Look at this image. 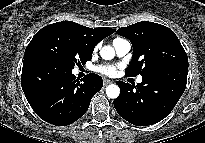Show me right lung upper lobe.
<instances>
[{
	"instance_id": "cb5924a9",
	"label": "right lung upper lobe",
	"mask_w": 205,
	"mask_h": 143,
	"mask_svg": "<svg viewBox=\"0 0 205 143\" xmlns=\"http://www.w3.org/2000/svg\"><path fill=\"white\" fill-rule=\"evenodd\" d=\"M74 27L78 32H80L83 37L93 46L100 42L105 37L109 36L110 34L114 33L116 30L108 27H99V28H88L82 26L78 23L72 21H64Z\"/></svg>"
}]
</instances>
